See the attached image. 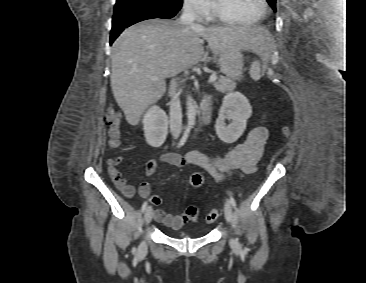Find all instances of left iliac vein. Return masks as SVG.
Listing matches in <instances>:
<instances>
[{
  "instance_id": "left-iliac-vein-1",
  "label": "left iliac vein",
  "mask_w": 366,
  "mask_h": 283,
  "mask_svg": "<svg viewBox=\"0 0 366 283\" xmlns=\"http://www.w3.org/2000/svg\"><path fill=\"white\" fill-rule=\"evenodd\" d=\"M224 215H225V218L228 222L232 221V219H233L232 207H231V205L228 201H226L225 205H224ZM230 246L234 249H238L239 244H238L237 239L231 238L230 239Z\"/></svg>"
}]
</instances>
